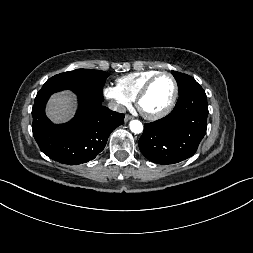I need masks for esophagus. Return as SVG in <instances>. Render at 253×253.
Listing matches in <instances>:
<instances>
[{
	"mask_svg": "<svg viewBox=\"0 0 253 253\" xmlns=\"http://www.w3.org/2000/svg\"><path fill=\"white\" fill-rule=\"evenodd\" d=\"M133 117L131 115H126L125 118H124V121L125 122H128L129 120H131Z\"/></svg>",
	"mask_w": 253,
	"mask_h": 253,
	"instance_id": "34e87169",
	"label": "esophagus"
}]
</instances>
